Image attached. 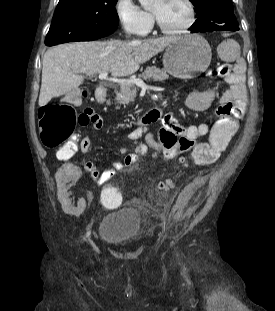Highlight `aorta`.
<instances>
[{
    "label": "aorta",
    "mask_w": 275,
    "mask_h": 311,
    "mask_svg": "<svg viewBox=\"0 0 275 311\" xmlns=\"http://www.w3.org/2000/svg\"><path fill=\"white\" fill-rule=\"evenodd\" d=\"M142 6H150L153 4L154 0H139Z\"/></svg>",
    "instance_id": "1"
}]
</instances>
